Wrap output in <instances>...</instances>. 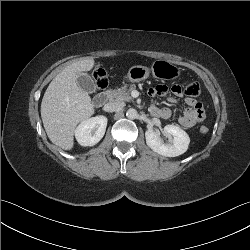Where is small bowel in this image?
Masks as SVG:
<instances>
[{
    "instance_id": "1",
    "label": "small bowel",
    "mask_w": 250,
    "mask_h": 250,
    "mask_svg": "<svg viewBox=\"0 0 250 250\" xmlns=\"http://www.w3.org/2000/svg\"><path fill=\"white\" fill-rule=\"evenodd\" d=\"M168 92V88L165 85H157L149 89L148 93L150 96H164ZM171 93L174 96H180L183 93V87L180 84H175L171 88ZM169 102L175 103L176 99L173 96L168 97ZM185 103L187 108L183 111L179 117V123L186 128H191L196 124L202 122L205 118V113L201 103L192 98H186ZM152 115L162 118L169 119L172 116V112L169 108H159L155 105L150 107Z\"/></svg>"
}]
</instances>
